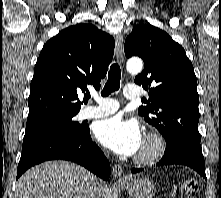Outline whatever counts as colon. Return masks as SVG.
I'll use <instances>...</instances> for the list:
<instances>
[{
    "instance_id": "1",
    "label": "colon",
    "mask_w": 221,
    "mask_h": 198,
    "mask_svg": "<svg viewBox=\"0 0 221 198\" xmlns=\"http://www.w3.org/2000/svg\"><path fill=\"white\" fill-rule=\"evenodd\" d=\"M183 193L186 198H198L196 194V180L188 179L182 185Z\"/></svg>"
}]
</instances>
